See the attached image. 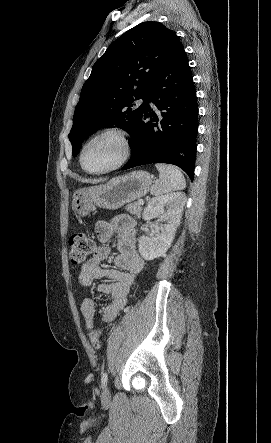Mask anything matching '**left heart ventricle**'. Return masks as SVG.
Wrapping results in <instances>:
<instances>
[{"label": "left heart ventricle", "instance_id": "1", "mask_svg": "<svg viewBox=\"0 0 271 443\" xmlns=\"http://www.w3.org/2000/svg\"><path fill=\"white\" fill-rule=\"evenodd\" d=\"M123 152L120 138L113 133L92 140L83 153V163L88 170L96 171L116 163Z\"/></svg>", "mask_w": 271, "mask_h": 443}]
</instances>
